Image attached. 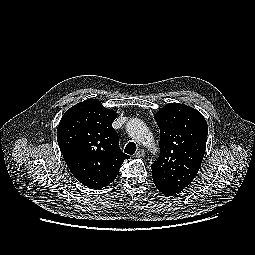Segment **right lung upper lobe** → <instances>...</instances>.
I'll use <instances>...</instances> for the list:
<instances>
[{"instance_id":"right-lung-upper-lobe-1","label":"right lung upper lobe","mask_w":255,"mask_h":255,"mask_svg":"<svg viewBox=\"0 0 255 255\" xmlns=\"http://www.w3.org/2000/svg\"><path fill=\"white\" fill-rule=\"evenodd\" d=\"M117 113L88 99L68 109L57 128V141L73 176L83 185L101 189L118 175L129 156L119 147L112 127Z\"/></svg>"}]
</instances>
